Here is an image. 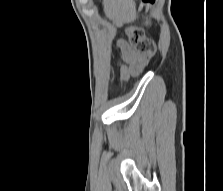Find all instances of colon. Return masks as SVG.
I'll use <instances>...</instances> for the list:
<instances>
[{
    "instance_id": "1",
    "label": "colon",
    "mask_w": 223,
    "mask_h": 191,
    "mask_svg": "<svg viewBox=\"0 0 223 191\" xmlns=\"http://www.w3.org/2000/svg\"><path fill=\"white\" fill-rule=\"evenodd\" d=\"M151 2H154L153 0ZM129 41L133 49L148 58H152L156 53V47L154 42L145 36L144 32L135 27L129 26L126 29Z\"/></svg>"
}]
</instances>
